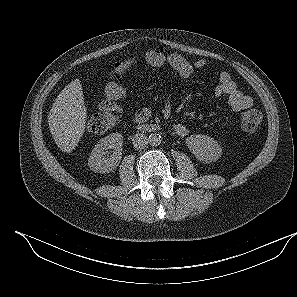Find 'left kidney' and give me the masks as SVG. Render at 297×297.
<instances>
[{
	"mask_svg": "<svg viewBox=\"0 0 297 297\" xmlns=\"http://www.w3.org/2000/svg\"><path fill=\"white\" fill-rule=\"evenodd\" d=\"M186 144L196 158L204 163L216 161L222 154L218 142L207 135H191L186 139Z\"/></svg>",
	"mask_w": 297,
	"mask_h": 297,
	"instance_id": "obj_1",
	"label": "left kidney"
}]
</instances>
